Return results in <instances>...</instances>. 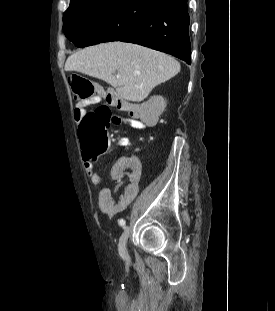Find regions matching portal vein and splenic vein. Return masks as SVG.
I'll use <instances>...</instances> for the list:
<instances>
[{
    "label": "portal vein and splenic vein",
    "instance_id": "obj_1",
    "mask_svg": "<svg viewBox=\"0 0 275 311\" xmlns=\"http://www.w3.org/2000/svg\"><path fill=\"white\" fill-rule=\"evenodd\" d=\"M116 77H118V78H119L120 76L117 74V75H116Z\"/></svg>",
    "mask_w": 275,
    "mask_h": 311
}]
</instances>
